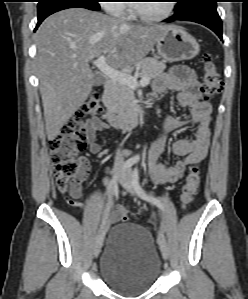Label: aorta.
Returning a JSON list of instances; mask_svg holds the SVG:
<instances>
[{
	"label": "aorta",
	"instance_id": "aorta-1",
	"mask_svg": "<svg viewBox=\"0 0 248 299\" xmlns=\"http://www.w3.org/2000/svg\"><path fill=\"white\" fill-rule=\"evenodd\" d=\"M140 159V157H139V155H137L136 157H135V160H139Z\"/></svg>",
	"mask_w": 248,
	"mask_h": 299
}]
</instances>
